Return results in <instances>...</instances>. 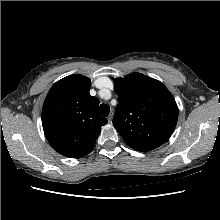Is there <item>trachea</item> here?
Instances as JSON below:
<instances>
[{
  "label": "trachea",
  "instance_id": "1",
  "mask_svg": "<svg viewBox=\"0 0 220 220\" xmlns=\"http://www.w3.org/2000/svg\"><path fill=\"white\" fill-rule=\"evenodd\" d=\"M99 112L102 116L107 117L110 112V107L106 104H101L99 107Z\"/></svg>",
  "mask_w": 220,
  "mask_h": 220
}]
</instances>
